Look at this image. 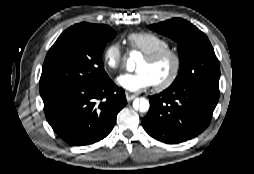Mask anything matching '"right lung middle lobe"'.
Here are the masks:
<instances>
[{
  "instance_id": "dd1d6c3e",
  "label": "right lung middle lobe",
  "mask_w": 254,
  "mask_h": 174,
  "mask_svg": "<svg viewBox=\"0 0 254 174\" xmlns=\"http://www.w3.org/2000/svg\"><path fill=\"white\" fill-rule=\"evenodd\" d=\"M116 33L76 24L64 31L48 51L40 78V94L70 86H92L109 76L102 54Z\"/></svg>"
}]
</instances>
